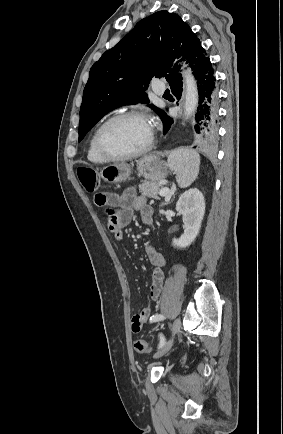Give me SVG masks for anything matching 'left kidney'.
Segmentation results:
<instances>
[{"mask_svg":"<svg viewBox=\"0 0 283 434\" xmlns=\"http://www.w3.org/2000/svg\"><path fill=\"white\" fill-rule=\"evenodd\" d=\"M176 211L182 215L185 229L180 238L172 240V245L186 248L194 242L201 228L205 213L203 194L197 188L186 191L180 196L176 204Z\"/></svg>","mask_w":283,"mask_h":434,"instance_id":"5707ae66","label":"left kidney"}]
</instances>
